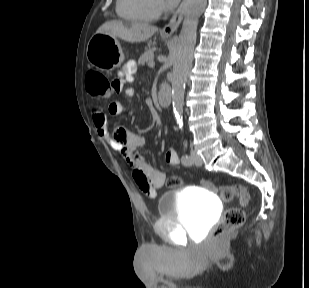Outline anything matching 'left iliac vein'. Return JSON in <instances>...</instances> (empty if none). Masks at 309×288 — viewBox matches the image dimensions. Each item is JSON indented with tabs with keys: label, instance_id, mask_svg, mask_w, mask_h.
Returning a JSON list of instances; mask_svg holds the SVG:
<instances>
[{
	"label": "left iliac vein",
	"instance_id": "4c4485c4",
	"mask_svg": "<svg viewBox=\"0 0 309 288\" xmlns=\"http://www.w3.org/2000/svg\"><path fill=\"white\" fill-rule=\"evenodd\" d=\"M191 160H192V163L197 166L202 165V159L195 150L191 151Z\"/></svg>",
	"mask_w": 309,
	"mask_h": 288
}]
</instances>
